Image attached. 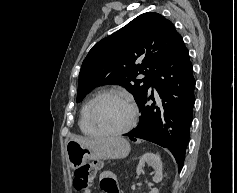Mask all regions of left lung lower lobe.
Segmentation results:
<instances>
[{"instance_id": "left-lung-lower-lobe-1", "label": "left lung lower lobe", "mask_w": 237, "mask_h": 193, "mask_svg": "<svg viewBox=\"0 0 237 193\" xmlns=\"http://www.w3.org/2000/svg\"><path fill=\"white\" fill-rule=\"evenodd\" d=\"M151 85L159 100L156 102L153 92L148 95L147 91L139 103L142 111L139 124L125 136L133 141L140 138L168 148L181 171L195 103L193 68L183 39L157 70ZM149 100H153L151 105L147 104Z\"/></svg>"}]
</instances>
